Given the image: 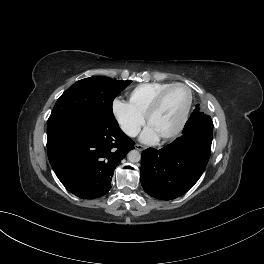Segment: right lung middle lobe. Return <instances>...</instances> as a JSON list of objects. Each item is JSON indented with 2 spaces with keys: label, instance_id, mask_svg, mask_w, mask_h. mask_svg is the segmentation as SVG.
Masks as SVG:
<instances>
[{
  "label": "right lung middle lobe",
  "instance_id": "1",
  "mask_svg": "<svg viewBox=\"0 0 264 264\" xmlns=\"http://www.w3.org/2000/svg\"><path fill=\"white\" fill-rule=\"evenodd\" d=\"M132 81H118L102 76L74 83L57 100L48 119L47 133L81 117L115 119L112 103Z\"/></svg>",
  "mask_w": 264,
  "mask_h": 264
}]
</instances>
